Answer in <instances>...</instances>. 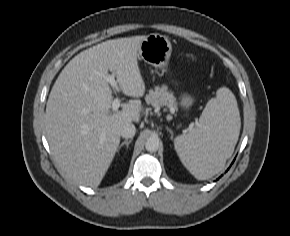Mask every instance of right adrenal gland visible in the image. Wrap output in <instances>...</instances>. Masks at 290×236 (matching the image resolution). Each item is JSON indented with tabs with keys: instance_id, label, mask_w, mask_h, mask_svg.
Segmentation results:
<instances>
[{
	"instance_id": "right-adrenal-gland-1",
	"label": "right adrenal gland",
	"mask_w": 290,
	"mask_h": 236,
	"mask_svg": "<svg viewBox=\"0 0 290 236\" xmlns=\"http://www.w3.org/2000/svg\"><path fill=\"white\" fill-rule=\"evenodd\" d=\"M131 142H132V139H129V140H125V141H123V142L120 144V146L118 147L117 152H119V150L121 149V147H123L124 145H126V148L128 149L129 144H130Z\"/></svg>"
}]
</instances>
